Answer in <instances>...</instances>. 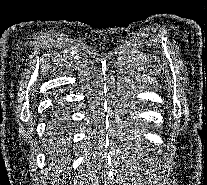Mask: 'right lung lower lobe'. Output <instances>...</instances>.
I'll list each match as a JSON object with an SVG mask.
<instances>
[{
	"mask_svg": "<svg viewBox=\"0 0 207 185\" xmlns=\"http://www.w3.org/2000/svg\"><path fill=\"white\" fill-rule=\"evenodd\" d=\"M65 124H66V121L63 115L57 114L55 115V117H53L51 127H52V131L55 133V137L57 138L54 140L56 144H59V142H61L62 140L59 137L62 135Z\"/></svg>",
	"mask_w": 207,
	"mask_h": 185,
	"instance_id": "1",
	"label": "right lung lower lobe"
}]
</instances>
